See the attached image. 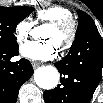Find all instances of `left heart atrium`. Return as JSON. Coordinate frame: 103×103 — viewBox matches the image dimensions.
<instances>
[{"label": "left heart atrium", "mask_w": 103, "mask_h": 103, "mask_svg": "<svg viewBox=\"0 0 103 103\" xmlns=\"http://www.w3.org/2000/svg\"><path fill=\"white\" fill-rule=\"evenodd\" d=\"M21 55L31 60H48L57 52V45L53 40L29 41L20 48Z\"/></svg>", "instance_id": "obj_1"}]
</instances>
